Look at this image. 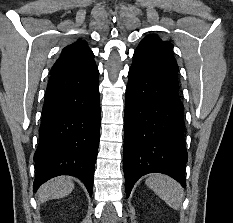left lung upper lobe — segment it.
<instances>
[{"mask_svg":"<svg viewBox=\"0 0 233 223\" xmlns=\"http://www.w3.org/2000/svg\"><path fill=\"white\" fill-rule=\"evenodd\" d=\"M144 39L154 40L157 44L162 46L165 50L172 53V50H173V44L172 43H170L168 41H162L161 39H159L157 36H154V35L147 36Z\"/></svg>","mask_w":233,"mask_h":223,"instance_id":"5c2ea615","label":"left lung upper lobe"}]
</instances>
